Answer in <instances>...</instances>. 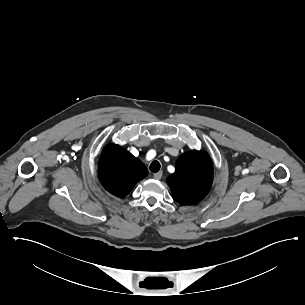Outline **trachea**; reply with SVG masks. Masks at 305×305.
Listing matches in <instances>:
<instances>
[{
  "mask_svg": "<svg viewBox=\"0 0 305 305\" xmlns=\"http://www.w3.org/2000/svg\"><path fill=\"white\" fill-rule=\"evenodd\" d=\"M160 170V163L157 160H154L150 164V171L153 173H157Z\"/></svg>",
  "mask_w": 305,
  "mask_h": 305,
  "instance_id": "obj_1",
  "label": "trachea"
}]
</instances>
